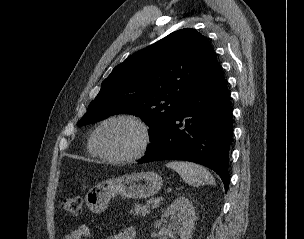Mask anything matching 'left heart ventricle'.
Listing matches in <instances>:
<instances>
[{
    "mask_svg": "<svg viewBox=\"0 0 304 239\" xmlns=\"http://www.w3.org/2000/svg\"><path fill=\"white\" fill-rule=\"evenodd\" d=\"M100 148L111 155H126L137 149L141 142L140 129L127 121L105 125L98 133Z\"/></svg>",
    "mask_w": 304,
    "mask_h": 239,
    "instance_id": "1",
    "label": "left heart ventricle"
}]
</instances>
